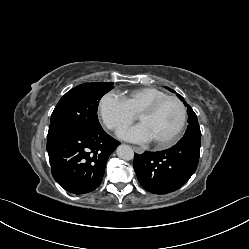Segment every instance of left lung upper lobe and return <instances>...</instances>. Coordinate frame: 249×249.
<instances>
[{"instance_id": "1", "label": "left lung upper lobe", "mask_w": 249, "mask_h": 249, "mask_svg": "<svg viewBox=\"0 0 249 249\" xmlns=\"http://www.w3.org/2000/svg\"><path fill=\"white\" fill-rule=\"evenodd\" d=\"M167 89L173 92L172 89L170 88H167ZM177 96L179 97L181 101L184 102V105L187 106V113H188V124L189 125L187 126L186 133L181 140H187V139L201 140V131H200V127L198 124L196 114L194 113L192 108L189 105H187V103L184 101V98L181 95L177 94Z\"/></svg>"}]
</instances>
